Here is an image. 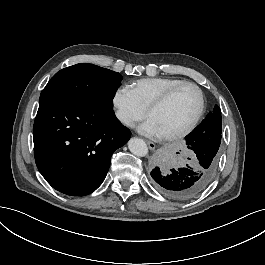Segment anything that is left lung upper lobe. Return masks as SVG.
Instances as JSON below:
<instances>
[{"mask_svg": "<svg viewBox=\"0 0 265 265\" xmlns=\"http://www.w3.org/2000/svg\"><path fill=\"white\" fill-rule=\"evenodd\" d=\"M194 130H198L208 137L220 138L222 132V117L219 106L215 105L214 110L209 113Z\"/></svg>", "mask_w": 265, "mask_h": 265, "instance_id": "left-lung-upper-lobe-1", "label": "left lung upper lobe"}]
</instances>
